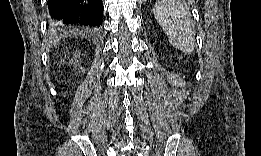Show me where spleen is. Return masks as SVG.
I'll return each instance as SVG.
<instances>
[{"mask_svg": "<svg viewBox=\"0 0 261 156\" xmlns=\"http://www.w3.org/2000/svg\"><path fill=\"white\" fill-rule=\"evenodd\" d=\"M154 16L170 44L185 54L195 48V28L189 8L172 0L156 1Z\"/></svg>", "mask_w": 261, "mask_h": 156, "instance_id": "1", "label": "spleen"}]
</instances>
